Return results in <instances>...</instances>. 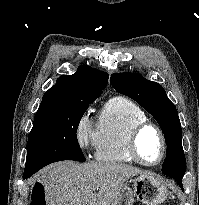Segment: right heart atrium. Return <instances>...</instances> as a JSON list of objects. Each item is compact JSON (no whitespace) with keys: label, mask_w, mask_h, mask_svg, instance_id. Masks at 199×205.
I'll list each match as a JSON object with an SVG mask.
<instances>
[{"label":"right heart atrium","mask_w":199,"mask_h":205,"mask_svg":"<svg viewBox=\"0 0 199 205\" xmlns=\"http://www.w3.org/2000/svg\"><path fill=\"white\" fill-rule=\"evenodd\" d=\"M96 128L88 114H84L76 128V140L81 149H89L95 146Z\"/></svg>","instance_id":"d8ad5b80"}]
</instances>
